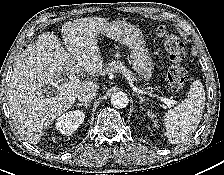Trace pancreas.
Wrapping results in <instances>:
<instances>
[{"label":"pancreas","instance_id":"1","mask_svg":"<svg viewBox=\"0 0 224 175\" xmlns=\"http://www.w3.org/2000/svg\"><path fill=\"white\" fill-rule=\"evenodd\" d=\"M105 72L109 74L121 73L129 81H137L135 74L127 69L121 62L110 63L109 66L105 68Z\"/></svg>","mask_w":224,"mask_h":175}]
</instances>
